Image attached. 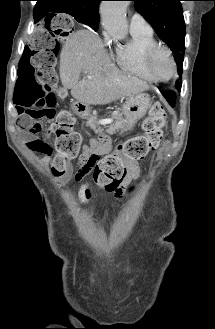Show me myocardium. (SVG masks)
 Here are the masks:
<instances>
[{
	"mask_svg": "<svg viewBox=\"0 0 215 329\" xmlns=\"http://www.w3.org/2000/svg\"><path fill=\"white\" fill-rule=\"evenodd\" d=\"M161 52H165L168 55V58L172 65V73L167 78L159 77L157 75L155 67H154L155 59H156L157 55ZM145 67H146L147 71L149 72V74L152 76V78L156 82H167V81L171 80L177 73V63H176L172 50L168 46L160 45V44H157L156 46L152 47L147 52V54L145 56Z\"/></svg>",
	"mask_w": 215,
	"mask_h": 329,
	"instance_id": "myocardium-1",
	"label": "myocardium"
}]
</instances>
